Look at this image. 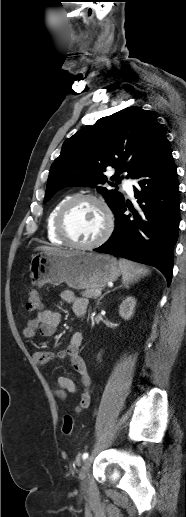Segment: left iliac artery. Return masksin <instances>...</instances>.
Listing matches in <instances>:
<instances>
[{
  "label": "left iliac artery",
  "instance_id": "left-iliac-artery-1",
  "mask_svg": "<svg viewBox=\"0 0 186 517\" xmlns=\"http://www.w3.org/2000/svg\"><path fill=\"white\" fill-rule=\"evenodd\" d=\"M88 456H89V454L86 452V453L83 454L82 458L86 459V458H88Z\"/></svg>",
  "mask_w": 186,
  "mask_h": 517
}]
</instances>
